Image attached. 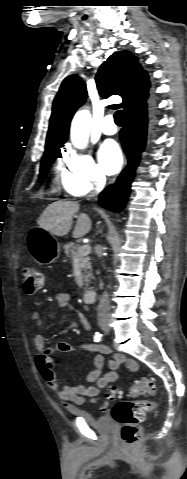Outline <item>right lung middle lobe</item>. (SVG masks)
Returning a JSON list of instances; mask_svg holds the SVG:
<instances>
[{
  "instance_id": "right-lung-middle-lobe-1",
  "label": "right lung middle lobe",
  "mask_w": 187,
  "mask_h": 479,
  "mask_svg": "<svg viewBox=\"0 0 187 479\" xmlns=\"http://www.w3.org/2000/svg\"><path fill=\"white\" fill-rule=\"evenodd\" d=\"M60 155V149L45 151L41 162L40 181H43L52 161Z\"/></svg>"
}]
</instances>
